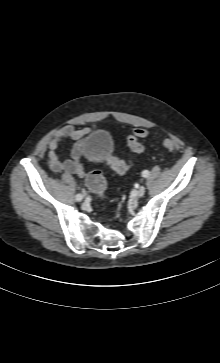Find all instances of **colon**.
I'll return each instance as SVG.
<instances>
[{
  "mask_svg": "<svg viewBox=\"0 0 220 363\" xmlns=\"http://www.w3.org/2000/svg\"><path fill=\"white\" fill-rule=\"evenodd\" d=\"M149 136L148 130L144 128L134 129L133 132L127 138V144L130 150L135 155L143 153L145 147L141 143V139ZM163 147L168 151H174L177 148V143L174 139L163 140ZM108 165L119 175H125L132 168L133 163H126L115 156H111L108 159ZM86 184L88 188L97 196L102 197L106 191V180L100 170H94L89 173L86 178Z\"/></svg>",
  "mask_w": 220,
  "mask_h": 363,
  "instance_id": "colon-1",
  "label": "colon"
}]
</instances>
